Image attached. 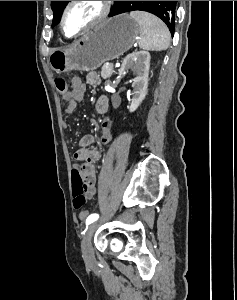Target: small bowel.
I'll return each mask as SVG.
<instances>
[{
    "mask_svg": "<svg viewBox=\"0 0 237 300\" xmlns=\"http://www.w3.org/2000/svg\"><path fill=\"white\" fill-rule=\"evenodd\" d=\"M100 81V76L96 72H90L86 75V82L91 86H97ZM71 83L73 88L84 85L78 77H74ZM63 99L65 101V112L72 113L79 100L72 98L69 93L64 94ZM95 109L98 114L105 115L109 110L108 98L106 96H100L95 103ZM112 137L113 122L108 117H105L100 123L99 140L102 144H108L112 140ZM95 142L96 139L92 134L82 136L79 141V148L74 154V158L80 162V164H76L74 168L78 169L83 177L84 195L87 199H91L96 193L94 163L99 160L101 151L99 148H91ZM86 215L87 212L82 211L80 213V218L83 219Z\"/></svg>",
    "mask_w": 237,
    "mask_h": 300,
    "instance_id": "c3829d8e",
    "label": "small bowel"
}]
</instances>
